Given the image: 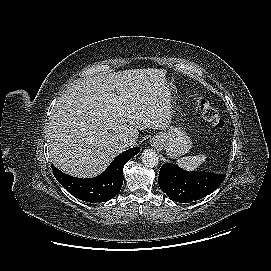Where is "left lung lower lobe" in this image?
I'll use <instances>...</instances> for the list:
<instances>
[{"label":"left lung lower lobe","mask_w":271,"mask_h":271,"mask_svg":"<svg viewBox=\"0 0 271 271\" xmlns=\"http://www.w3.org/2000/svg\"><path fill=\"white\" fill-rule=\"evenodd\" d=\"M224 179L225 174L187 172L177 165L167 163L160 169L158 182L171 200L189 203L211 194Z\"/></svg>","instance_id":"left-lung-lower-lobe-1"}]
</instances>
